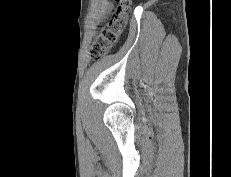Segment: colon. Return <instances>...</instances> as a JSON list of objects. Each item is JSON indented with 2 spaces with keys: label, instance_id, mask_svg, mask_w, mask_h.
Returning <instances> with one entry per match:
<instances>
[{
  "label": "colon",
  "instance_id": "5ec220e1",
  "mask_svg": "<svg viewBox=\"0 0 231 177\" xmlns=\"http://www.w3.org/2000/svg\"><path fill=\"white\" fill-rule=\"evenodd\" d=\"M115 2L118 3L116 12L96 35L91 51L93 59H99L106 55L117 43L126 27L132 0H115Z\"/></svg>",
  "mask_w": 231,
  "mask_h": 177
}]
</instances>
